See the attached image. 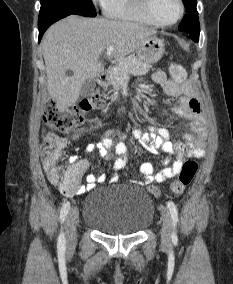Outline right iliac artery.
I'll return each mask as SVG.
<instances>
[{
  "label": "right iliac artery",
  "instance_id": "1",
  "mask_svg": "<svg viewBox=\"0 0 233 284\" xmlns=\"http://www.w3.org/2000/svg\"><path fill=\"white\" fill-rule=\"evenodd\" d=\"M69 209H70V203L67 201L63 204L61 211H60L61 223H63L65 221V218L67 216ZM57 247H58L59 251H61V252L65 251L66 239H65V234L63 233V231H61V233L59 235Z\"/></svg>",
  "mask_w": 233,
  "mask_h": 284
}]
</instances>
